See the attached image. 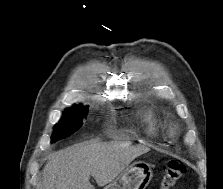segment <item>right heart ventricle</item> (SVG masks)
Returning a JSON list of instances; mask_svg holds the SVG:
<instances>
[{
  "label": "right heart ventricle",
  "mask_w": 223,
  "mask_h": 189,
  "mask_svg": "<svg viewBox=\"0 0 223 189\" xmlns=\"http://www.w3.org/2000/svg\"><path fill=\"white\" fill-rule=\"evenodd\" d=\"M144 134L150 138H158L168 132V124L163 116L153 107H145L141 111Z\"/></svg>",
  "instance_id": "right-heart-ventricle-1"
}]
</instances>
